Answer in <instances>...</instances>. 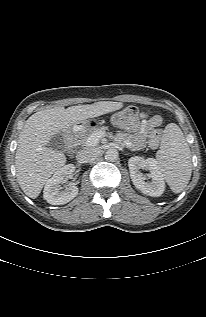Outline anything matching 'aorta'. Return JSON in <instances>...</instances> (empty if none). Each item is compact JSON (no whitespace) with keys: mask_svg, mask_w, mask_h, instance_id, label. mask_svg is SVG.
Here are the masks:
<instances>
[{"mask_svg":"<svg viewBox=\"0 0 206 317\" xmlns=\"http://www.w3.org/2000/svg\"><path fill=\"white\" fill-rule=\"evenodd\" d=\"M119 157V153L116 149H108L105 153V159L108 161H115Z\"/></svg>","mask_w":206,"mask_h":317,"instance_id":"1","label":"aorta"}]
</instances>
